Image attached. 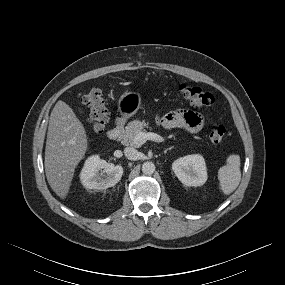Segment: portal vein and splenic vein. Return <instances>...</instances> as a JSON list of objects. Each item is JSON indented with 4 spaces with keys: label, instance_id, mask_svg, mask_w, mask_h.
<instances>
[{
    "label": "portal vein and splenic vein",
    "instance_id": "portal-vein-and-splenic-vein-1",
    "mask_svg": "<svg viewBox=\"0 0 285 285\" xmlns=\"http://www.w3.org/2000/svg\"><path fill=\"white\" fill-rule=\"evenodd\" d=\"M147 140H152L155 142H162L164 139L158 134L152 133V132H139L135 137H134V143L137 146L143 145Z\"/></svg>",
    "mask_w": 285,
    "mask_h": 285
}]
</instances>
